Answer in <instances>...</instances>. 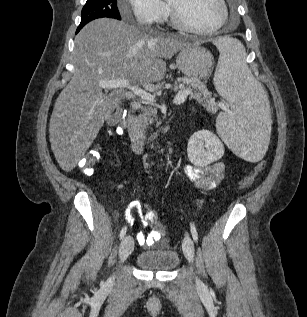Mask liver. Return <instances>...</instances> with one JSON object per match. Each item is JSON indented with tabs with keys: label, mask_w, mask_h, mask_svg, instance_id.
Masks as SVG:
<instances>
[{
	"label": "liver",
	"mask_w": 307,
	"mask_h": 317,
	"mask_svg": "<svg viewBox=\"0 0 307 317\" xmlns=\"http://www.w3.org/2000/svg\"><path fill=\"white\" fill-rule=\"evenodd\" d=\"M74 43L75 71L58 96L49 123L52 151L66 172L76 166L104 122L129 94L127 88L104 94L99 82L122 79L131 86L149 87L164 78V59L189 45L109 18L87 24Z\"/></svg>",
	"instance_id": "1"
}]
</instances>
